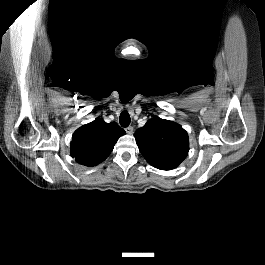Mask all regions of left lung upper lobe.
<instances>
[{
    "label": "left lung upper lobe",
    "mask_w": 265,
    "mask_h": 265,
    "mask_svg": "<svg viewBox=\"0 0 265 265\" xmlns=\"http://www.w3.org/2000/svg\"><path fill=\"white\" fill-rule=\"evenodd\" d=\"M134 136L142 155L155 168H175L188 154V134L175 122L152 118Z\"/></svg>",
    "instance_id": "obj_1"
}]
</instances>
